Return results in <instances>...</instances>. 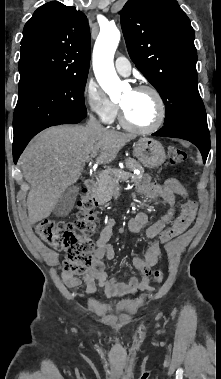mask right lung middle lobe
Masks as SVG:
<instances>
[{
    "mask_svg": "<svg viewBox=\"0 0 221 379\" xmlns=\"http://www.w3.org/2000/svg\"><path fill=\"white\" fill-rule=\"evenodd\" d=\"M87 76H67L19 86L13 116L14 142L30 140L66 117L85 118L84 89Z\"/></svg>",
    "mask_w": 221,
    "mask_h": 379,
    "instance_id": "right-lung-middle-lobe-1",
    "label": "right lung middle lobe"
}]
</instances>
